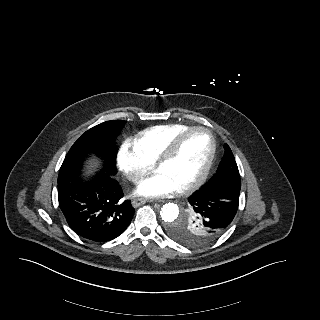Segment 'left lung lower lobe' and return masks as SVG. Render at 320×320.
Listing matches in <instances>:
<instances>
[{
	"label": "left lung lower lobe",
	"instance_id": "obj_1",
	"mask_svg": "<svg viewBox=\"0 0 320 320\" xmlns=\"http://www.w3.org/2000/svg\"><path fill=\"white\" fill-rule=\"evenodd\" d=\"M201 216L209 239L221 236L236 215L239 194L224 188H206L205 185L188 199Z\"/></svg>",
	"mask_w": 320,
	"mask_h": 320
}]
</instances>
